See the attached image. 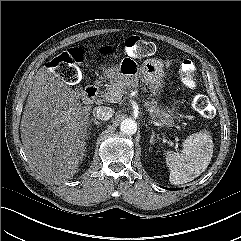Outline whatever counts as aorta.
Wrapping results in <instances>:
<instances>
[{
  "mask_svg": "<svg viewBox=\"0 0 241 241\" xmlns=\"http://www.w3.org/2000/svg\"><path fill=\"white\" fill-rule=\"evenodd\" d=\"M120 130L126 135H133L137 131V124L132 119H125L120 124Z\"/></svg>",
  "mask_w": 241,
  "mask_h": 241,
  "instance_id": "1",
  "label": "aorta"
}]
</instances>
